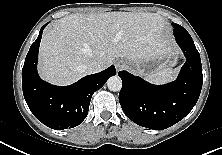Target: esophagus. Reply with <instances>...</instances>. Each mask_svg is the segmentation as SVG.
Here are the masks:
<instances>
[{"label":"esophagus","mask_w":222,"mask_h":155,"mask_svg":"<svg viewBox=\"0 0 222 155\" xmlns=\"http://www.w3.org/2000/svg\"><path fill=\"white\" fill-rule=\"evenodd\" d=\"M125 63L121 60H118L115 62V67L117 71H120L122 68H124Z\"/></svg>","instance_id":"esophagus-1"}]
</instances>
